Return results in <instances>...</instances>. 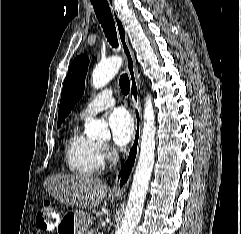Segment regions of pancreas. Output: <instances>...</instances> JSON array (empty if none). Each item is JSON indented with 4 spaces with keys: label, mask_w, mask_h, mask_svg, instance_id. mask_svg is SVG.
<instances>
[{
    "label": "pancreas",
    "mask_w": 241,
    "mask_h": 234,
    "mask_svg": "<svg viewBox=\"0 0 241 234\" xmlns=\"http://www.w3.org/2000/svg\"><path fill=\"white\" fill-rule=\"evenodd\" d=\"M86 234H92V233H90V232H87Z\"/></svg>",
    "instance_id": "cf45deb5"
}]
</instances>
